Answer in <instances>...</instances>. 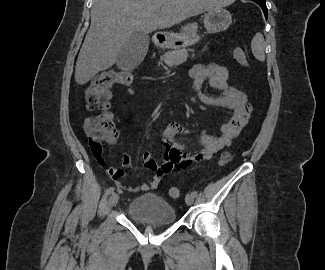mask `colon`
I'll return each mask as SVG.
<instances>
[{
    "instance_id": "1",
    "label": "colon",
    "mask_w": 325,
    "mask_h": 270,
    "mask_svg": "<svg viewBox=\"0 0 325 270\" xmlns=\"http://www.w3.org/2000/svg\"><path fill=\"white\" fill-rule=\"evenodd\" d=\"M234 59L242 66H248V59L241 48L233 50ZM133 82V76L129 72L107 70L94 77L86 89V102L91 110L99 113L89 117L85 122V131L88 136L90 149L95 157L102 155V143H111L116 138L117 132L113 117L109 112L111 87L115 84L129 87ZM232 159L229 151L222 153L219 164L222 166ZM169 195L176 199L181 195L177 187L169 190Z\"/></svg>"
}]
</instances>
